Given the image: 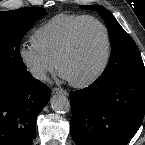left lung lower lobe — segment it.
Returning a JSON list of instances; mask_svg holds the SVG:
<instances>
[{
  "label": "left lung lower lobe",
  "instance_id": "left-lung-lower-lobe-1",
  "mask_svg": "<svg viewBox=\"0 0 145 145\" xmlns=\"http://www.w3.org/2000/svg\"><path fill=\"white\" fill-rule=\"evenodd\" d=\"M71 135L77 145H125L145 112V74L92 83L70 93Z\"/></svg>",
  "mask_w": 145,
  "mask_h": 145
}]
</instances>
